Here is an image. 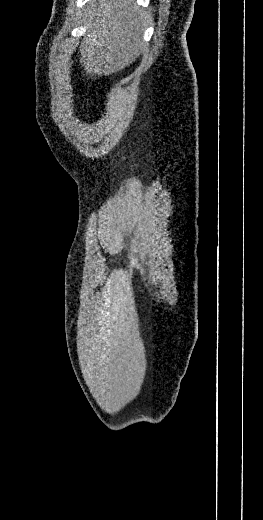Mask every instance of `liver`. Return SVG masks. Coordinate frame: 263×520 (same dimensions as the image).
Wrapping results in <instances>:
<instances>
[{
    "label": "liver",
    "mask_w": 263,
    "mask_h": 520,
    "mask_svg": "<svg viewBox=\"0 0 263 520\" xmlns=\"http://www.w3.org/2000/svg\"><path fill=\"white\" fill-rule=\"evenodd\" d=\"M148 13L135 0L93 2L80 46V63L92 76H108L133 63L144 46Z\"/></svg>",
    "instance_id": "1"
}]
</instances>
